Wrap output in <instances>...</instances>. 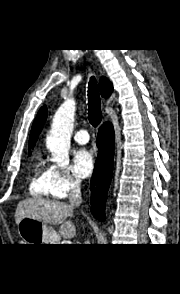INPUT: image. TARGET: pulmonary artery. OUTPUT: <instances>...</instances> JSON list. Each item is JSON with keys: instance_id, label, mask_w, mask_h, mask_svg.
Masks as SVG:
<instances>
[{"instance_id": "e3ab8cb5", "label": "pulmonary artery", "mask_w": 180, "mask_h": 294, "mask_svg": "<svg viewBox=\"0 0 180 294\" xmlns=\"http://www.w3.org/2000/svg\"><path fill=\"white\" fill-rule=\"evenodd\" d=\"M74 140L79 144H85L89 141V134L86 130H79L74 134Z\"/></svg>"}]
</instances>
